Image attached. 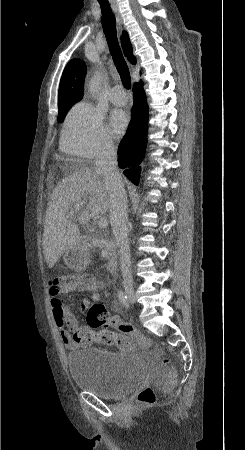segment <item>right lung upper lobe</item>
<instances>
[{"label": "right lung upper lobe", "mask_w": 245, "mask_h": 450, "mask_svg": "<svg viewBox=\"0 0 245 450\" xmlns=\"http://www.w3.org/2000/svg\"><path fill=\"white\" fill-rule=\"evenodd\" d=\"M122 48L128 60L136 63V58L132 54V46L127 32L121 36ZM86 75V65L79 59L71 60L65 67L59 86L58 107L66 104L76 103L83 97L84 78Z\"/></svg>", "instance_id": "1"}]
</instances>
